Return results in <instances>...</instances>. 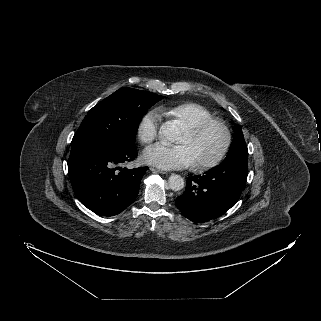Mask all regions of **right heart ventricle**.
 Masks as SVG:
<instances>
[{
    "mask_svg": "<svg viewBox=\"0 0 321 321\" xmlns=\"http://www.w3.org/2000/svg\"><path fill=\"white\" fill-rule=\"evenodd\" d=\"M164 112L168 116L181 121L186 127L213 117L206 107L195 102L181 103L165 109Z\"/></svg>",
    "mask_w": 321,
    "mask_h": 321,
    "instance_id": "right-heart-ventricle-1",
    "label": "right heart ventricle"
}]
</instances>
